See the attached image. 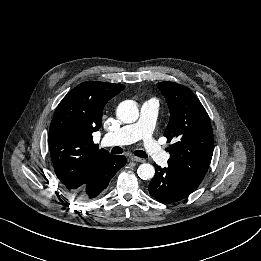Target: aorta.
<instances>
[{
    "mask_svg": "<svg viewBox=\"0 0 261 261\" xmlns=\"http://www.w3.org/2000/svg\"><path fill=\"white\" fill-rule=\"evenodd\" d=\"M117 118L123 123H133L139 117L137 104L132 100L121 102L116 111ZM138 176L143 180H149L154 177L155 169L151 164L143 163L137 170Z\"/></svg>",
    "mask_w": 261,
    "mask_h": 261,
    "instance_id": "762f6f07",
    "label": "aorta"
}]
</instances>
